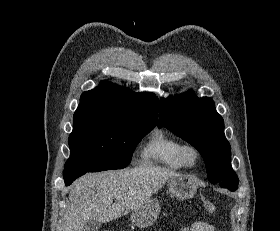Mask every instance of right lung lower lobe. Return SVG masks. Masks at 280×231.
<instances>
[{"mask_svg": "<svg viewBox=\"0 0 280 231\" xmlns=\"http://www.w3.org/2000/svg\"><path fill=\"white\" fill-rule=\"evenodd\" d=\"M86 172L84 171H65L63 172V177L66 185H70L76 178L82 176Z\"/></svg>", "mask_w": 280, "mask_h": 231, "instance_id": "obj_1", "label": "right lung lower lobe"}]
</instances>
